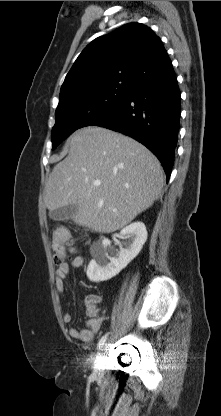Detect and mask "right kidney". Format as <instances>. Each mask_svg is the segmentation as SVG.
<instances>
[{"mask_svg":"<svg viewBox=\"0 0 221 416\" xmlns=\"http://www.w3.org/2000/svg\"><path fill=\"white\" fill-rule=\"evenodd\" d=\"M119 238H130L131 243L126 248H121L117 257H109L106 246H102L98 256L88 264L87 277L90 281H107L124 269L139 254L146 242V227L140 221L131 223L121 230Z\"/></svg>","mask_w":221,"mask_h":416,"instance_id":"right-kidney-1","label":"right kidney"}]
</instances>
